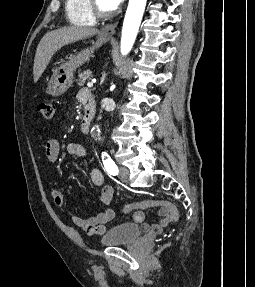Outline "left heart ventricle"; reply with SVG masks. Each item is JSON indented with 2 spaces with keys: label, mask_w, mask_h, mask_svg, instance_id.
Returning a JSON list of instances; mask_svg holds the SVG:
<instances>
[{
  "label": "left heart ventricle",
  "mask_w": 255,
  "mask_h": 287,
  "mask_svg": "<svg viewBox=\"0 0 255 287\" xmlns=\"http://www.w3.org/2000/svg\"><path fill=\"white\" fill-rule=\"evenodd\" d=\"M117 39H122V38H117ZM111 48H128V47H111Z\"/></svg>",
  "instance_id": "1"
}]
</instances>
